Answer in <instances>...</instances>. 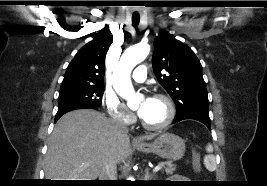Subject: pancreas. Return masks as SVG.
Segmentation results:
<instances>
[{"label": "pancreas", "instance_id": "1", "mask_svg": "<svg viewBox=\"0 0 267 186\" xmlns=\"http://www.w3.org/2000/svg\"><path fill=\"white\" fill-rule=\"evenodd\" d=\"M163 167V170L167 175H172L176 169L175 165L172 164V162L167 161V162H161L159 163Z\"/></svg>", "mask_w": 267, "mask_h": 186}]
</instances>
